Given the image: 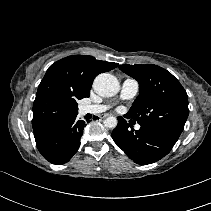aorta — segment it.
<instances>
[{
  "label": "aorta",
  "instance_id": "1",
  "mask_svg": "<svg viewBox=\"0 0 211 211\" xmlns=\"http://www.w3.org/2000/svg\"><path fill=\"white\" fill-rule=\"evenodd\" d=\"M93 89L102 97H111L119 92L120 85L115 76L109 73H102L94 79ZM103 123L107 128H115L117 126V119L113 116L108 117Z\"/></svg>",
  "mask_w": 211,
  "mask_h": 211
}]
</instances>
